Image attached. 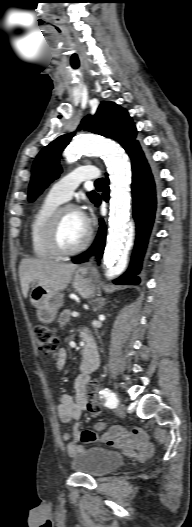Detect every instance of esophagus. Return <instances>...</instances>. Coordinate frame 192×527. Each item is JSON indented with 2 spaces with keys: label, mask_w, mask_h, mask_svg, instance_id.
Returning a JSON list of instances; mask_svg holds the SVG:
<instances>
[{
  "label": "esophagus",
  "mask_w": 192,
  "mask_h": 527,
  "mask_svg": "<svg viewBox=\"0 0 192 527\" xmlns=\"http://www.w3.org/2000/svg\"><path fill=\"white\" fill-rule=\"evenodd\" d=\"M90 266H91V263H89L88 265L82 267V269H87V268H89Z\"/></svg>",
  "instance_id": "1"
}]
</instances>
